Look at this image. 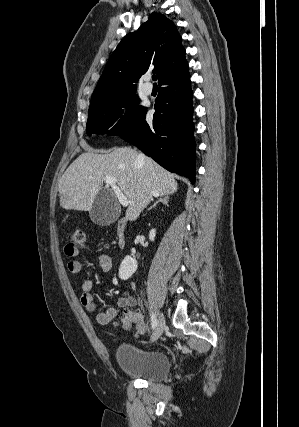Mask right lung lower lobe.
I'll use <instances>...</instances> for the list:
<instances>
[{
	"mask_svg": "<svg viewBox=\"0 0 299 427\" xmlns=\"http://www.w3.org/2000/svg\"><path fill=\"white\" fill-rule=\"evenodd\" d=\"M188 70L162 80L155 102L153 123L145 120L120 135L170 172L195 182V142L192 91Z\"/></svg>",
	"mask_w": 299,
	"mask_h": 427,
	"instance_id": "98d812e1",
	"label": "right lung lower lobe"
}]
</instances>
